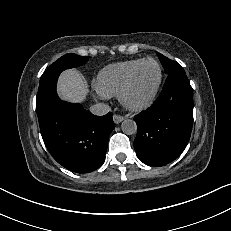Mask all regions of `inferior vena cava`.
<instances>
[{"mask_svg":"<svg viewBox=\"0 0 231 231\" xmlns=\"http://www.w3.org/2000/svg\"><path fill=\"white\" fill-rule=\"evenodd\" d=\"M110 111V107L104 103H98L90 107V112L97 116H102Z\"/></svg>","mask_w":231,"mask_h":231,"instance_id":"1","label":"inferior vena cava"}]
</instances>
